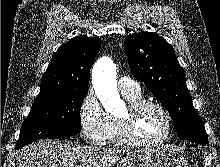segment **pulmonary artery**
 <instances>
[{
    "label": "pulmonary artery",
    "instance_id": "pulmonary-artery-1",
    "mask_svg": "<svg viewBox=\"0 0 220 167\" xmlns=\"http://www.w3.org/2000/svg\"><path fill=\"white\" fill-rule=\"evenodd\" d=\"M118 86L123 94H140L139 84L129 77H120L118 80Z\"/></svg>",
    "mask_w": 220,
    "mask_h": 167
}]
</instances>
